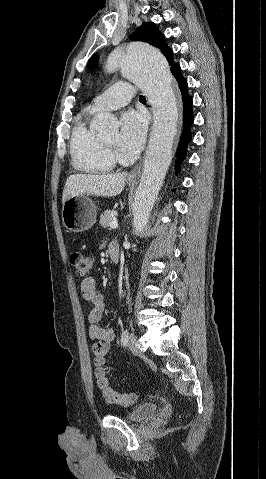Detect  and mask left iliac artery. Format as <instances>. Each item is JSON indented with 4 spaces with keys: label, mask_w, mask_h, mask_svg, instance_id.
Segmentation results:
<instances>
[{
    "label": "left iliac artery",
    "mask_w": 266,
    "mask_h": 479,
    "mask_svg": "<svg viewBox=\"0 0 266 479\" xmlns=\"http://www.w3.org/2000/svg\"><path fill=\"white\" fill-rule=\"evenodd\" d=\"M129 339V331L126 329L121 335V345L126 346Z\"/></svg>",
    "instance_id": "left-iliac-artery-1"
}]
</instances>
